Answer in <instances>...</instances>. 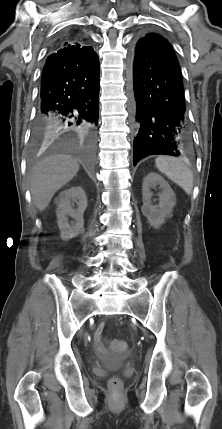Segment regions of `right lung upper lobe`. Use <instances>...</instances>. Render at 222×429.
<instances>
[{
  "label": "right lung upper lobe",
  "mask_w": 222,
  "mask_h": 429,
  "mask_svg": "<svg viewBox=\"0 0 222 429\" xmlns=\"http://www.w3.org/2000/svg\"><path fill=\"white\" fill-rule=\"evenodd\" d=\"M56 49H68L78 57L90 56L94 51L92 47L85 46L83 40L74 38L73 35H68L66 39L59 41Z\"/></svg>",
  "instance_id": "right-lung-upper-lobe-1"
}]
</instances>
